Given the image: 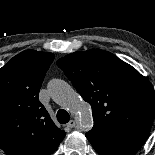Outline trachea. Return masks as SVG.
I'll use <instances>...</instances> for the list:
<instances>
[{
	"instance_id": "trachea-1",
	"label": "trachea",
	"mask_w": 155,
	"mask_h": 155,
	"mask_svg": "<svg viewBox=\"0 0 155 155\" xmlns=\"http://www.w3.org/2000/svg\"><path fill=\"white\" fill-rule=\"evenodd\" d=\"M57 120L61 124H66L70 120V115H69V113L66 110L60 109L57 112Z\"/></svg>"
}]
</instances>
